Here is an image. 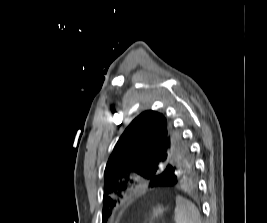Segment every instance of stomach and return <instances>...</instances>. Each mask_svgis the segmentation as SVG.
Here are the masks:
<instances>
[{"label": "stomach", "instance_id": "stomach-1", "mask_svg": "<svg viewBox=\"0 0 267 223\" xmlns=\"http://www.w3.org/2000/svg\"><path fill=\"white\" fill-rule=\"evenodd\" d=\"M164 209L161 206H158L153 210V217H158L163 213Z\"/></svg>", "mask_w": 267, "mask_h": 223}]
</instances>
